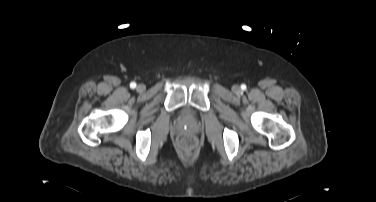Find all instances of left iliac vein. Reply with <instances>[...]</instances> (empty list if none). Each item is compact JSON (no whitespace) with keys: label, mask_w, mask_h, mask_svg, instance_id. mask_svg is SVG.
<instances>
[{"label":"left iliac vein","mask_w":376,"mask_h":202,"mask_svg":"<svg viewBox=\"0 0 376 202\" xmlns=\"http://www.w3.org/2000/svg\"><path fill=\"white\" fill-rule=\"evenodd\" d=\"M232 90H233L234 93L238 94V93H240L241 88L238 85H234L232 87Z\"/></svg>","instance_id":"4c4485c4"}]
</instances>
